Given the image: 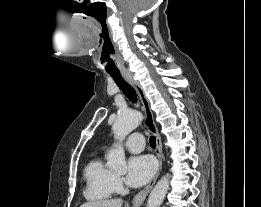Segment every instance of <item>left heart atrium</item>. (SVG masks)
Here are the masks:
<instances>
[{
	"instance_id": "39dd6f15",
	"label": "left heart atrium",
	"mask_w": 261,
	"mask_h": 207,
	"mask_svg": "<svg viewBox=\"0 0 261 207\" xmlns=\"http://www.w3.org/2000/svg\"><path fill=\"white\" fill-rule=\"evenodd\" d=\"M156 171V162L149 155L133 156L128 161L127 183L139 187L147 183Z\"/></svg>"
}]
</instances>
